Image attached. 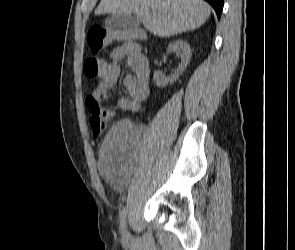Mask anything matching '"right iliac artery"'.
<instances>
[{
  "label": "right iliac artery",
  "instance_id": "obj_1",
  "mask_svg": "<svg viewBox=\"0 0 295 250\" xmlns=\"http://www.w3.org/2000/svg\"><path fill=\"white\" fill-rule=\"evenodd\" d=\"M126 217H127V207H124L122 209L121 215H120V229L122 233H126Z\"/></svg>",
  "mask_w": 295,
  "mask_h": 250
}]
</instances>
